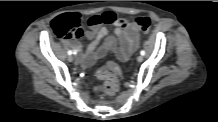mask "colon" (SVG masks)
<instances>
[{"instance_id":"1","label":"colon","mask_w":218,"mask_h":122,"mask_svg":"<svg viewBox=\"0 0 218 122\" xmlns=\"http://www.w3.org/2000/svg\"><path fill=\"white\" fill-rule=\"evenodd\" d=\"M111 12V11H108ZM102 14H93V16ZM88 17V27H89ZM82 18L78 14H65L54 19L52 27L56 35L64 39H77L82 36ZM136 25L140 32H146L151 20L149 17H140L136 19ZM90 28V27H89ZM122 75V70L112 61L101 67L96 72V77L103 81L104 90L108 94H115L119 89V81Z\"/></svg>"}]
</instances>
